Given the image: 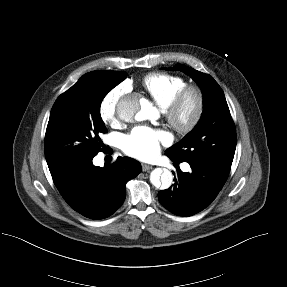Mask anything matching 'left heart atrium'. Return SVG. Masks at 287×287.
Masks as SVG:
<instances>
[{
    "instance_id": "obj_1",
    "label": "left heart atrium",
    "mask_w": 287,
    "mask_h": 287,
    "mask_svg": "<svg viewBox=\"0 0 287 287\" xmlns=\"http://www.w3.org/2000/svg\"><path fill=\"white\" fill-rule=\"evenodd\" d=\"M168 142L169 135L165 131L147 126H138L133 128L129 134L123 136L122 149L131 157L150 160L158 154L160 145Z\"/></svg>"
}]
</instances>
